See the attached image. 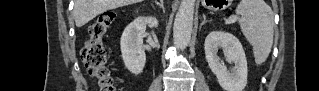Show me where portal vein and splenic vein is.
Wrapping results in <instances>:
<instances>
[{"instance_id":"1","label":"portal vein and splenic vein","mask_w":319,"mask_h":91,"mask_svg":"<svg viewBox=\"0 0 319 91\" xmlns=\"http://www.w3.org/2000/svg\"><path fill=\"white\" fill-rule=\"evenodd\" d=\"M236 18H231V19H229L228 21H226V23H230V22H232L233 20H235Z\"/></svg>"}]
</instances>
